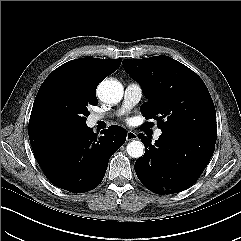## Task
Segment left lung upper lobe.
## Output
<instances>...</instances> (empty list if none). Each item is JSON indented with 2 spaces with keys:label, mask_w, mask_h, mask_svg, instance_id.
I'll return each instance as SVG.
<instances>
[{
  "label": "left lung upper lobe",
  "mask_w": 241,
  "mask_h": 241,
  "mask_svg": "<svg viewBox=\"0 0 241 241\" xmlns=\"http://www.w3.org/2000/svg\"><path fill=\"white\" fill-rule=\"evenodd\" d=\"M123 65L140 83L148 99L141 105V113L147 119H157L158 128L216 137L214 103L205 83L195 72L165 55L127 59Z\"/></svg>",
  "instance_id": "5c2ea615"
}]
</instances>
